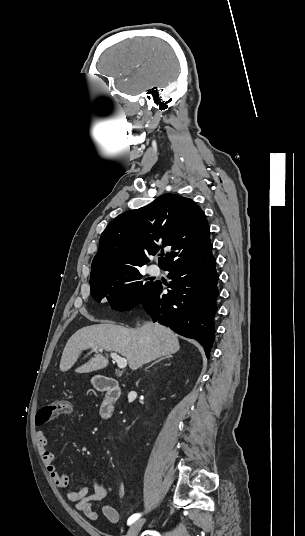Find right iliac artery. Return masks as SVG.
I'll list each match as a JSON object with an SVG mask.
<instances>
[{
    "label": "right iliac artery",
    "mask_w": 305,
    "mask_h": 536,
    "mask_svg": "<svg viewBox=\"0 0 305 536\" xmlns=\"http://www.w3.org/2000/svg\"><path fill=\"white\" fill-rule=\"evenodd\" d=\"M141 516V514H133L131 517H129L128 519V525H131L133 522H135L139 517Z\"/></svg>",
    "instance_id": "obj_1"
}]
</instances>
